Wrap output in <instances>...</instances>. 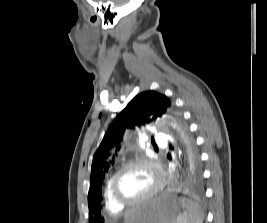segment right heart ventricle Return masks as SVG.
<instances>
[{
	"mask_svg": "<svg viewBox=\"0 0 267 223\" xmlns=\"http://www.w3.org/2000/svg\"><path fill=\"white\" fill-rule=\"evenodd\" d=\"M111 177H109L105 183L104 187V193H103V198H104V204L106 209L108 210L109 213L111 214H119L123 212L124 207L118 205L112 198L111 193H110V183Z\"/></svg>",
	"mask_w": 267,
	"mask_h": 223,
	"instance_id": "obj_1",
	"label": "right heart ventricle"
}]
</instances>
